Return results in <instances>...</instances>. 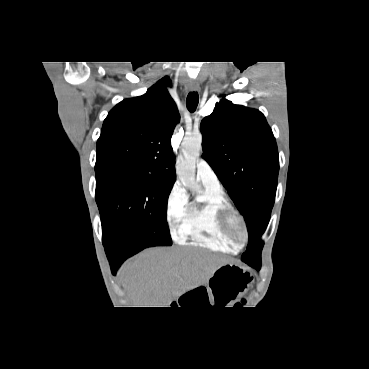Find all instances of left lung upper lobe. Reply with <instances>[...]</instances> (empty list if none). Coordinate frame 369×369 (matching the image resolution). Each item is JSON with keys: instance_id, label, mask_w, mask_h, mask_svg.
Masks as SVG:
<instances>
[{"instance_id": "1", "label": "left lung upper lobe", "mask_w": 369, "mask_h": 369, "mask_svg": "<svg viewBox=\"0 0 369 369\" xmlns=\"http://www.w3.org/2000/svg\"><path fill=\"white\" fill-rule=\"evenodd\" d=\"M224 97L201 122L203 157L245 218L249 242L241 260L261 265V235L277 188V145L260 111L234 105Z\"/></svg>"}]
</instances>
